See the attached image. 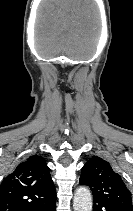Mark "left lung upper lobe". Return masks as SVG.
I'll return each mask as SVG.
<instances>
[{
  "mask_svg": "<svg viewBox=\"0 0 133 211\" xmlns=\"http://www.w3.org/2000/svg\"><path fill=\"white\" fill-rule=\"evenodd\" d=\"M79 182L90 187L94 201L122 211H133L130 191L104 159L93 156L83 166Z\"/></svg>",
  "mask_w": 133,
  "mask_h": 211,
  "instance_id": "obj_1",
  "label": "left lung upper lobe"
}]
</instances>
